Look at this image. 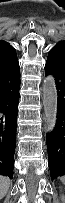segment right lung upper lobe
<instances>
[{
  "label": "right lung upper lobe",
  "mask_w": 65,
  "mask_h": 203,
  "mask_svg": "<svg viewBox=\"0 0 65 203\" xmlns=\"http://www.w3.org/2000/svg\"><path fill=\"white\" fill-rule=\"evenodd\" d=\"M19 68L15 49L5 41H0V72H11Z\"/></svg>",
  "instance_id": "1"
}]
</instances>
